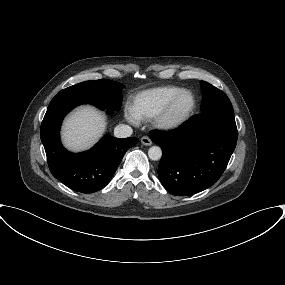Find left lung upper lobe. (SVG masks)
Returning a JSON list of instances; mask_svg holds the SVG:
<instances>
[{
	"mask_svg": "<svg viewBox=\"0 0 285 285\" xmlns=\"http://www.w3.org/2000/svg\"><path fill=\"white\" fill-rule=\"evenodd\" d=\"M202 103L201 112L211 109H224L233 111L232 104L227 95L208 82L201 81Z\"/></svg>",
	"mask_w": 285,
	"mask_h": 285,
	"instance_id": "1",
	"label": "left lung upper lobe"
}]
</instances>
